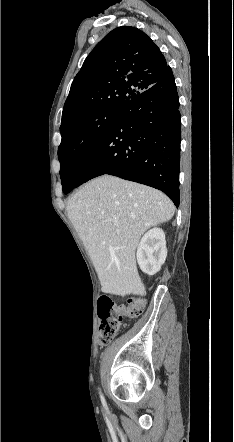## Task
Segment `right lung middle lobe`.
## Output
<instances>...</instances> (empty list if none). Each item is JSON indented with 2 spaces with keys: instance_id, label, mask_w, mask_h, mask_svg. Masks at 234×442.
<instances>
[{
  "instance_id": "dd1d6c3e",
  "label": "right lung middle lobe",
  "mask_w": 234,
  "mask_h": 442,
  "mask_svg": "<svg viewBox=\"0 0 234 442\" xmlns=\"http://www.w3.org/2000/svg\"><path fill=\"white\" fill-rule=\"evenodd\" d=\"M121 107L105 108L71 122L61 132L62 141L58 148L61 164L60 175L65 191L72 182V170L77 160L96 146L108 133Z\"/></svg>"
}]
</instances>
